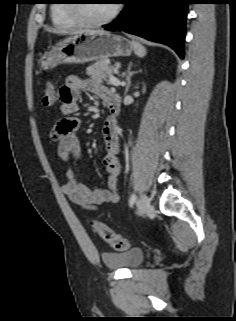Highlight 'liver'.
Segmentation results:
<instances>
[{"label":"liver","instance_id":"liver-1","mask_svg":"<svg viewBox=\"0 0 236 321\" xmlns=\"http://www.w3.org/2000/svg\"><path fill=\"white\" fill-rule=\"evenodd\" d=\"M51 32H54V33H60V34H75V33H82V32H86V33H89V34H103V33H107L106 31L104 30H72V31H69V32H63V31H58V30H50Z\"/></svg>","mask_w":236,"mask_h":321}]
</instances>
